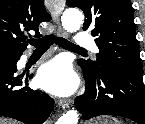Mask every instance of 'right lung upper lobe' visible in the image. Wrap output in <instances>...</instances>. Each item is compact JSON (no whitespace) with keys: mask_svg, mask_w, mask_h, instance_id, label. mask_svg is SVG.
Wrapping results in <instances>:
<instances>
[{"mask_svg":"<svg viewBox=\"0 0 145 124\" xmlns=\"http://www.w3.org/2000/svg\"><path fill=\"white\" fill-rule=\"evenodd\" d=\"M50 20L43 0H0V52L22 53L28 45L26 32L41 37L39 24Z\"/></svg>","mask_w":145,"mask_h":124,"instance_id":"cb5924a9","label":"right lung upper lobe"}]
</instances>
